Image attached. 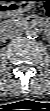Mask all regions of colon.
Here are the masks:
<instances>
[{
    "mask_svg": "<svg viewBox=\"0 0 50 111\" xmlns=\"http://www.w3.org/2000/svg\"><path fill=\"white\" fill-rule=\"evenodd\" d=\"M44 12L46 13V14H49L50 13V4L47 2V3H45V5H44Z\"/></svg>",
    "mask_w": 50,
    "mask_h": 111,
    "instance_id": "1",
    "label": "colon"
}]
</instances>
